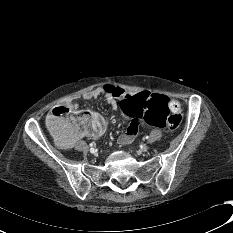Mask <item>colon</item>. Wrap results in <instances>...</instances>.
Here are the masks:
<instances>
[{
    "label": "colon",
    "instance_id": "obj_1",
    "mask_svg": "<svg viewBox=\"0 0 233 233\" xmlns=\"http://www.w3.org/2000/svg\"><path fill=\"white\" fill-rule=\"evenodd\" d=\"M119 111L126 118H143L148 125L175 131L182 122L180 104L159 94L147 91L125 93L119 99ZM48 127L56 137L79 136L95 133L102 128L101 121L91 112L82 111L72 118V111L65 105L55 106L49 117Z\"/></svg>",
    "mask_w": 233,
    "mask_h": 233
}]
</instances>
